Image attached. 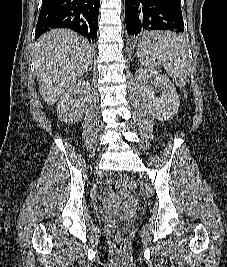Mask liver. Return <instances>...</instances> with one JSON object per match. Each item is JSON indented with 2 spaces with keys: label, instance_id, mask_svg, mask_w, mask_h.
<instances>
[{
  "label": "liver",
  "instance_id": "6515ba94",
  "mask_svg": "<svg viewBox=\"0 0 227 267\" xmlns=\"http://www.w3.org/2000/svg\"><path fill=\"white\" fill-rule=\"evenodd\" d=\"M92 45L68 29H54L35 43V70L40 94L55 104L92 63Z\"/></svg>",
  "mask_w": 227,
  "mask_h": 267
}]
</instances>
